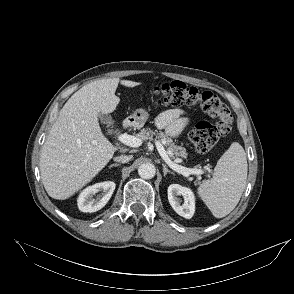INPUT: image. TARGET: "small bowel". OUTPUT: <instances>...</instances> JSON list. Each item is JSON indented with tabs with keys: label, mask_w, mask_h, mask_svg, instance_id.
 Wrapping results in <instances>:
<instances>
[{
	"label": "small bowel",
	"mask_w": 294,
	"mask_h": 294,
	"mask_svg": "<svg viewBox=\"0 0 294 294\" xmlns=\"http://www.w3.org/2000/svg\"><path fill=\"white\" fill-rule=\"evenodd\" d=\"M189 118L180 109H169L156 119V125L172 137L178 136L188 125Z\"/></svg>",
	"instance_id": "c3829d8e"
}]
</instances>
